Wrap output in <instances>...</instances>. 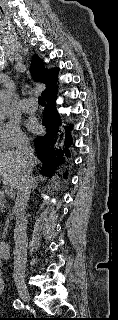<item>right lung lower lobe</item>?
<instances>
[{
    "label": "right lung lower lobe",
    "mask_w": 118,
    "mask_h": 320,
    "mask_svg": "<svg viewBox=\"0 0 118 320\" xmlns=\"http://www.w3.org/2000/svg\"><path fill=\"white\" fill-rule=\"evenodd\" d=\"M47 105L44 109L43 121L42 123L46 127L47 134L43 137H37L35 139V148L38 151V157L40 161L43 163L42 175L51 176L54 173V170L65 162V158L63 155L65 154L67 157L70 156L68 149H61L57 145V142H60L62 137L61 129H60V117L56 110V91L45 97ZM66 128V127H65ZM72 128L67 127L65 132H69ZM66 141L65 145L67 147L72 143L71 136L68 134L65 135ZM64 177H67V173L64 174Z\"/></svg>",
    "instance_id": "1"
}]
</instances>
